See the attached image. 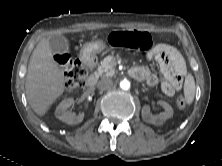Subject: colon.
I'll list each match as a JSON object with an SVG mask.
<instances>
[{
  "label": "colon",
  "mask_w": 222,
  "mask_h": 166,
  "mask_svg": "<svg viewBox=\"0 0 222 166\" xmlns=\"http://www.w3.org/2000/svg\"><path fill=\"white\" fill-rule=\"evenodd\" d=\"M108 41L112 46L135 50H147L152 45L150 34L139 31L113 32L110 34ZM56 59L62 68L66 87L69 91H74L85 85L87 70L80 60L73 59L68 54L58 55ZM185 105L186 102L183 98L177 100V106L180 109H183Z\"/></svg>",
  "instance_id": "obj_1"
}]
</instances>
